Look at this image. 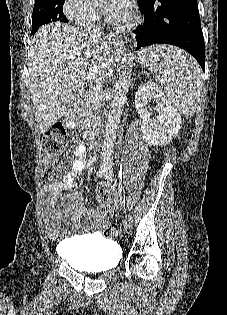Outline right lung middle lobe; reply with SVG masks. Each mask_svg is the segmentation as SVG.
Segmentation results:
<instances>
[{
    "instance_id": "obj_1",
    "label": "right lung middle lobe",
    "mask_w": 227,
    "mask_h": 315,
    "mask_svg": "<svg viewBox=\"0 0 227 315\" xmlns=\"http://www.w3.org/2000/svg\"><path fill=\"white\" fill-rule=\"evenodd\" d=\"M64 2L65 0H35L31 33H35L37 27L49 22H68L63 14Z\"/></svg>"
}]
</instances>
